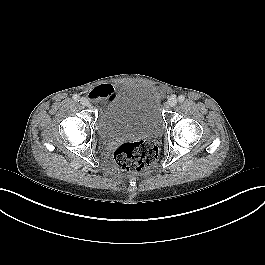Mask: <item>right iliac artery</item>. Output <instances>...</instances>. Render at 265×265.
I'll list each match as a JSON object with an SVG mask.
<instances>
[{
  "label": "right iliac artery",
  "mask_w": 265,
  "mask_h": 265,
  "mask_svg": "<svg viewBox=\"0 0 265 265\" xmlns=\"http://www.w3.org/2000/svg\"><path fill=\"white\" fill-rule=\"evenodd\" d=\"M73 99H74L75 101H78V102H79L80 97H79V95L75 94V95H73Z\"/></svg>",
  "instance_id": "obj_1"
}]
</instances>
